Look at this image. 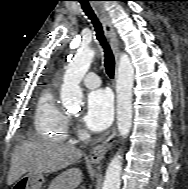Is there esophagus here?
Wrapping results in <instances>:
<instances>
[{
  "label": "esophagus",
  "mask_w": 188,
  "mask_h": 189,
  "mask_svg": "<svg viewBox=\"0 0 188 189\" xmlns=\"http://www.w3.org/2000/svg\"><path fill=\"white\" fill-rule=\"evenodd\" d=\"M95 7L100 15L105 31L110 40V44L115 56V74H117L119 64V43L117 35L104 6L101 3L96 2ZM115 136L116 129L114 128L112 133L101 144L97 145L91 150L89 158L92 163H99L104 159L105 154L111 149L113 145Z\"/></svg>",
  "instance_id": "1"
}]
</instances>
